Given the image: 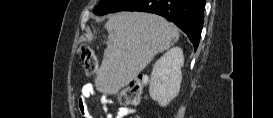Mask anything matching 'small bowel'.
Masks as SVG:
<instances>
[{
  "mask_svg": "<svg viewBox=\"0 0 273 118\" xmlns=\"http://www.w3.org/2000/svg\"><path fill=\"white\" fill-rule=\"evenodd\" d=\"M94 89L91 84H86L81 89V94L78 99V110L82 118H89L88 100L93 95ZM112 102L109 97L104 98V110L107 118H124L134 113V109L129 107H119L115 114L109 112L108 105Z\"/></svg>",
  "mask_w": 273,
  "mask_h": 118,
  "instance_id": "c3829d8e",
  "label": "small bowel"
}]
</instances>
